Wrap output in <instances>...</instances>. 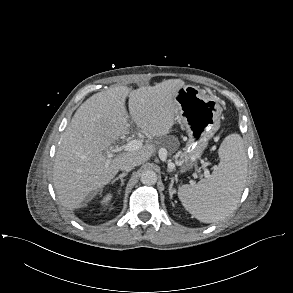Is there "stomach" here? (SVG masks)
<instances>
[{"instance_id":"0dacf381","label":"stomach","mask_w":293,"mask_h":293,"mask_svg":"<svg viewBox=\"0 0 293 293\" xmlns=\"http://www.w3.org/2000/svg\"><path fill=\"white\" fill-rule=\"evenodd\" d=\"M174 100L178 106L176 119L186 127L189 136L181 169L185 172L201 157L220 128L222 108L216 99L191 85L180 87Z\"/></svg>"}]
</instances>
